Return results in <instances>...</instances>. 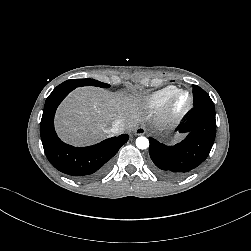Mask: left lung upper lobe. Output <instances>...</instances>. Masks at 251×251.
<instances>
[{"mask_svg": "<svg viewBox=\"0 0 251 251\" xmlns=\"http://www.w3.org/2000/svg\"><path fill=\"white\" fill-rule=\"evenodd\" d=\"M193 105L194 107L197 106H205V107H214V104L209 97V95L200 87L194 85L193 86Z\"/></svg>", "mask_w": 251, "mask_h": 251, "instance_id": "5c2ea615", "label": "left lung upper lobe"}]
</instances>
